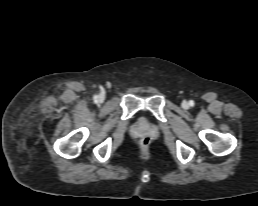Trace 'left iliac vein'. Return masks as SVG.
<instances>
[{"label":"left iliac vein","instance_id":"left-iliac-vein-1","mask_svg":"<svg viewBox=\"0 0 258 206\" xmlns=\"http://www.w3.org/2000/svg\"><path fill=\"white\" fill-rule=\"evenodd\" d=\"M188 106V103L187 102H184L183 103V107H187Z\"/></svg>","mask_w":258,"mask_h":206}]
</instances>
